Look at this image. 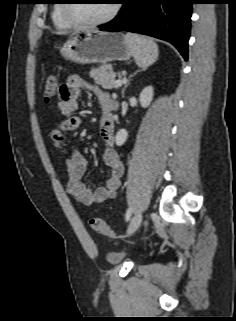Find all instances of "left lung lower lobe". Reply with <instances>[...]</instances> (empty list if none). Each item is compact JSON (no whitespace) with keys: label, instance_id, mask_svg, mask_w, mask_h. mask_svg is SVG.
Wrapping results in <instances>:
<instances>
[{"label":"left lung lower lobe","instance_id":"left-lung-lower-lobe-1","mask_svg":"<svg viewBox=\"0 0 236 321\" xmlns=\"http://www.w3.org/2000/svg\"><path fill=\"white\" fill-rule=\"evenodd\" d=\"M120 13L102 31H129L149 35L174 45L185 60L193 0H121Z\"/></svg>","mask_w":236,"mask_h":321}]
</instances>
